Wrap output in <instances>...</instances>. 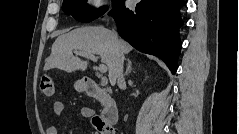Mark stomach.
<instances>
[{"instance_id":"1","label":"stomach","mask_w":239,"mask_h":134,"mask_svg":"<svg viewBox=\"0 0 239 134\" xmlns=\"http://www.w3.org/2000/svg\"><path fill=\"white\" fill-rule=\"evenodd\" d=\"M75 87L78 91H84L85 88H86V84L82 81V80H79L75 83Z\"/></svg>"}]
</instances>
